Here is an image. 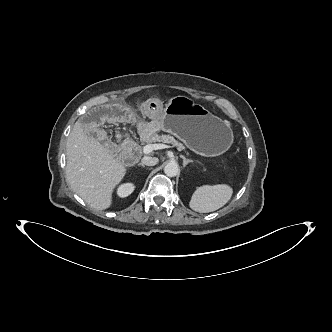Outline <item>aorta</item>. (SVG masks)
<instances>
[{"label": "aorta", "mask_w": 332, "mask_h": 332, "mask_svg": "<svg viewBox=\"0 0 332 332\" xmlns=\"http://www.w3.org/2000/svg\"><path fill=\"white\" fill-rule=\"evenodd\" d=\"M164 173L168 177H175L179 174V166L176 163L170 162L164 167Z\"/></svg>", "instance_id": "762f6f07"}]
</instances>
